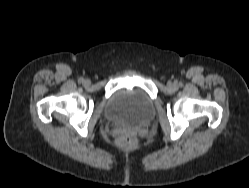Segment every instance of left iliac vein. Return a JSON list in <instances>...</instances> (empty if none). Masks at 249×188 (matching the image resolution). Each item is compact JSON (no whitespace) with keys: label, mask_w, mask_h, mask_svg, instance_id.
I'll use <instances>...</instances> for the list:
<instances>
[{"label":"left iliac vein","mask_w":249,"mask_h":188,"mask_svg":"<svg viewBox=\"0 0 249 188\" xmlns=\"http://www.w3.org/2000/svg\"><path fill=\"white\" fill-rule=\"evenodd\" d=\"M169 86H170L171 88H173V87H174V84L171 83Z\"/></svg>","instance_id":"4c4485c4"}]
</instances>
